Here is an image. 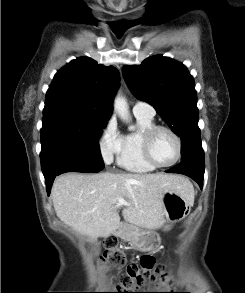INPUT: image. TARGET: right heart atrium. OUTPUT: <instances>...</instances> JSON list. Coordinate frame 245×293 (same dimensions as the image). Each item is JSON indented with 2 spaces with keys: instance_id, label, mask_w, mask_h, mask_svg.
Wrapping results in <instances>:
<instances>
[{
  "instance_id": "right-heart-atrium-1",
  "label": "right heart atrium",
  "mask_w": 245,
  "mask_h": 293,
  "mask_svg": "<svg viewBox=\"0 0 245 293\" xmlns=\"http://www.w3.org/2000/svg\"><path fill=\"white\" fill-rule=\"evenodd\" d=\"M122 142L123 135L119 131L115 120L110 118L102 127L98 138L99 150L105 163H111L114 156L118 155Z\"/></svg>"
}]
</instances>
